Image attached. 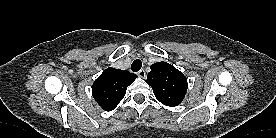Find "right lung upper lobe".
Masks as SVG:
<instances>
[{"mask_svg":"<svg viewBox=\"0 0 276 138\" xmlns=\"http://www.w3.org/2000/svg\"><path fill=\"white\" fill-rule=\"evenodd\" d=\"M137 78V75L127 70L107 68L95 80L92 95L105 111H111L123 99L127 87Z\"/></svg>","mask_w":276,"mask_h":138,"instance_id":"right-lung-upper-lobe-1","label":"right lung upper lobe"}]
</instances>
